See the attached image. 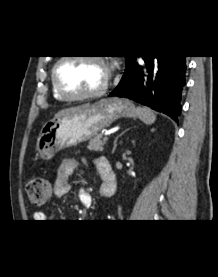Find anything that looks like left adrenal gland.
<instances>
[{"label":"left adrenal gland","mask_w":218,"mask_h":277,"mask_svg":"<svg viewBox=\"0 0 218 277\" xmlns=\"http://www.w3.org/2000/svg\"><path fill=\"white\" fill-rule=\"evenodd\" d=\"M154 130V129H152ZM125 132H123L121 135L117 136L116 139L114 140V143H113V149H112V153L115 152L116 150V147H117V142H118V139L124 134Z\"/></svg>","instance_id":"obj_1"}]
</instances>
